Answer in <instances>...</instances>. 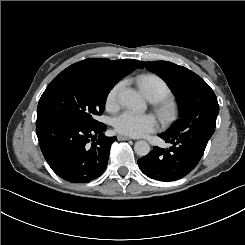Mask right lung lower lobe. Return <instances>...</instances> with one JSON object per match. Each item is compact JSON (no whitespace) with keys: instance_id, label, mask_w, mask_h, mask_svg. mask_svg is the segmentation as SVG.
<instances>
[{"instance_id":"obj_1","label":"right lung lower lobe","mask_w":245,"mask_h":245,"mask_svg":"<svg viewBox=\"0 0 245 245\" xmlns=\"http://www.w3.org/2000/svg\"><path fill=\"white\" fill-rule=\"evenodd\" d=\"M107 126L70 122L36 126L41 151L51 169L72 183H87L105 171L116 137H106Z\"/></svg>"}]
</instances>
